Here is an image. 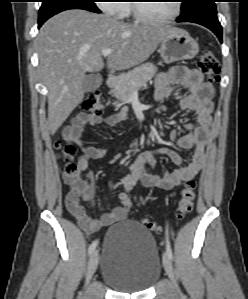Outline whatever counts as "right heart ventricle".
<instances>
[{
	"instance_id": "obj_1",
	"label": "right heart ventricle",
	"mask_w": 248,
	"mask_h": 299,
	"mask_svg": "<svg viewBox=\"0 0 248 299\" xmlns=\"http://www.w3.org/2000/svg\"><path fill=\"white\" fill-rule=\"evenodd\" d=\"M125 7H126V13H127V12L129 11V8H128L127 6H125ZM126 13H125V14H126Z\"/></svg>"
}]
</instances>
